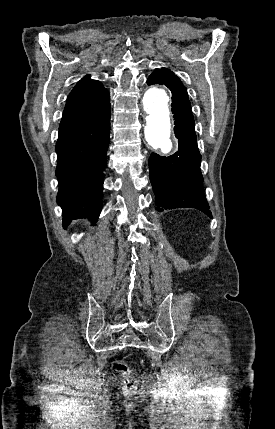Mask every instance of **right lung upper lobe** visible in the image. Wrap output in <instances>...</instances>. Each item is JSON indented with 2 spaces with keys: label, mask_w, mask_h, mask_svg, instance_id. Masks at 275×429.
<instances>
[{
  "label": "right lung upper lobe",
  "mask_w": 275,
  "mask_h": 429,
  "mask_svg": "<svg viewBox=\"0 0 275 429\" xmlns=\"http://www.w3.org/2000/svg\"><path fill=\"white\" fill-rule=\"evenodd\" d=\"M110 109V96L99 81L90 75L81 79L70 92L59 128L79 125L105 114Z\"/></svg>",
  "instance_id": "obj_1"
}]
</instances>
